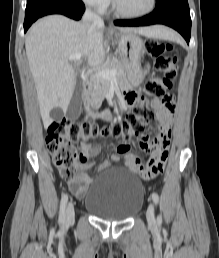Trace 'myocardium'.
Masks as SVG:
<instances>
[{"label":"myocardium","instance_id":"obj_1","mask_svg":"<svg viewBox=\"0 0 219 258\" xmlns=\"http://www.w3.org/2000/svg\"><path fill=\"white\" fill-rule=\"evenodd\" d=\"M156 4H157V0H151L149 8H147L146 10L141 11V12H137V13H128V12L123 11L119 7V5L117 3V0H112V6H113L114 12L118 16H121V17H124V18H140V17L146 16V15L150 14L155 9Z\"/></svg>","mask_w":219,"mask_h":258}]
</instances>
